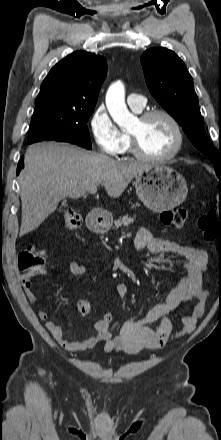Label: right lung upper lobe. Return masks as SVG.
<instances>
[{"instance_id":"right-lung-upper-lobe-1","label":"right lung upper lobe","mask_w":221,"mask_h":440,"mask_svg":"<svg viewBox=\"0 0 221 440\" xmlns=\"http://www.w3.org/2000/svg\"><path fill=\"white\" fill-rule=\"evenodd\" d=\"M107 74L104 57L75 51L57 63L46 76L36 103L60 102L80 107H95Z\"/></svg>"}]
</instances>
